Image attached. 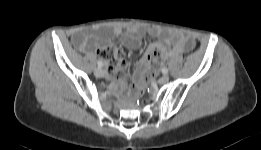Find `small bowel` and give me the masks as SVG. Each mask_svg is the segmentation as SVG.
<instances>
[{
    "mask_svg": "<svg viewBox=\"0 0 261 150\" xmlns=\"http://www.w3.org/2000/svg\"><path fill=\"white\" fill-rule=\"evenodd\" d=\"M146 35L163 41L164 45L155 44L153 47H158L164 57H176L194 46L193 40L188 36L169 28L155 26H131L125 32L120 26H115L111 31L81 29L72 35V41L79 50L86 53L98 52L104 60L112 61L111 72L121 81L125 77L127 62L120 49L111 50L113 39L120 38L121 43L134 52ZM136 65L137 68L133 66L129 70L133 75L145 66V61L141 59Z\"/></svg>",
    "mask_w": 261,
    "mask_h": 150,
    "instance_id": "small-bowel-1",
    "label": "small bowel"
}]
</instances>
